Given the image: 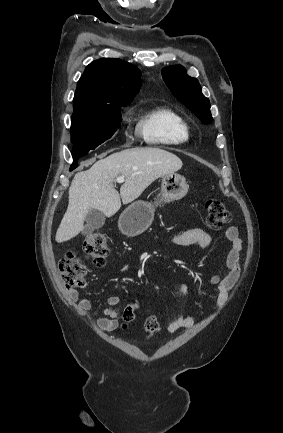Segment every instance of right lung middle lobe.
<instances>
[{"mask_svg":"<svg viewBox=\"0 0 283 433\" xmlns=\"http://www.w3.org/2000/svg\"><path fill=\"white\" fill-rule=\"evenodd\" d=\"M125 106L74 110L71 119L73 158L87 155L90 150L109 139L120 125V110Z\"/></svg>","mask_w":283,"mask_h":433,"instance_id":"right-lung-middle-lobe-1","label":"right lung middle lobe"}]
</instances>
